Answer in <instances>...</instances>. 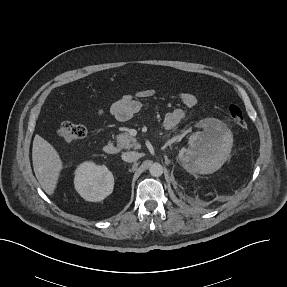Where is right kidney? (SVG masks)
<instances>
[{"mask_svg": "<svg viewBox=\"0 0 287 287\" xmlns=\"http://www.w3.org/2000/svg\"><path fill=\"white\" fill-rule=\"evenodd\" d=\"M74 186L85 200L99 202L112 193L114 178L105 165L84 162L75 171Z\"/></svg>", "mask_w": 287, "mask_h": 287, "instance_id": "ca27d5eb", "label": "right kidney"}]
</instances>
